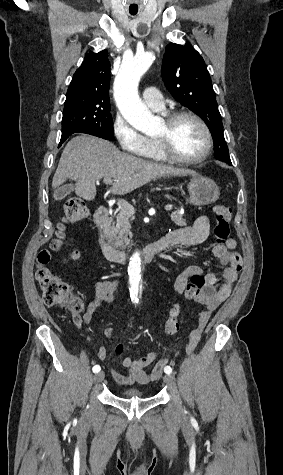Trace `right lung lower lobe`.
Returning a JSON list of instances; mask_svg holds the SVG:
<instances>
[{"instance_id":"right-lung-lower-lobe-1","label":"right lung lower lobe","mask_w":283,"mask_h":475,"mask_svg":"<svg viewBox=\"0 0 283 475\" xmlns=\"http://www.w3.org/2000/svg\"><path fill=\"white\" fill-rule=\"evenodd\" d=\"M73 133H66V134H62L61 136V141H60V144H59V147L61 146V144L70 136L72 135Z\"/></svg>"}]
</instances>
